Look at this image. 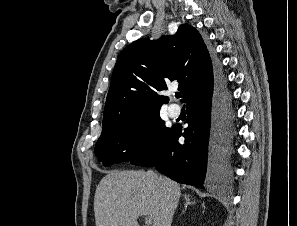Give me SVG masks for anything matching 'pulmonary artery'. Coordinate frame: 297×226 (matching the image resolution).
I'll use <instances>...</instances> for the list:
<instances>
[{
    "label": "pulmonary artery",
    "instance_id": "e3ab8cb5",
    "mask_svg": "<svg viewBox=\"0 0 297 226\" xmlns=\"http://www.w3.org/2000/svg\"><path fill=\"white\" fill-rule=\"evenodd\" d=\"M168 112L171 117H178L181 114V107L178 104L173 103L169 105Z\"/></svg>",
    "mask_w": 297,
    "mask_h": 226
}]
</instances>
